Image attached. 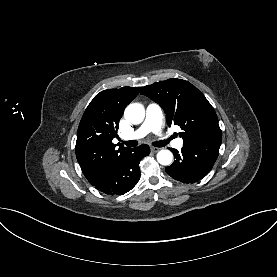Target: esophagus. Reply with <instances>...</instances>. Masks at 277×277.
<instances>
[{"instance_id":"1","label":"esophagus","mask_w":277,"mask_h":277,"mask_svg":"<svg viewBox=\"0 0 277 277\" xmlns=\"http://www.w3.org/2000/svg\"><path fill=\"white\" fill-rule=\"evenodd\" d=\"M159 150H160V148H158V147H151V151L154 153L158 152Z\"/></svg>"}]
</instances>
